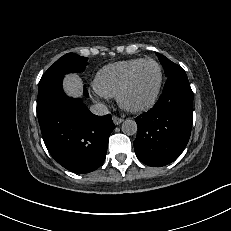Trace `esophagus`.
Masks as SVG:
<instances>
[{"label": "esophagus", "instance_id": "esophagus-1", "mask_svg": "<svg viewBox=\"0 0 231 231\" xmlns=\"http://www.w3.org/2000/svg\"><path fill=\"white\" fill-rule=\"evenodd\" d=\"M112 120H113L115 125H119V124H121L123 122V119L120 118V117H117V116H113Z\"/></svg>", "mask_w": 231, "mask_h": 231}]
</instances>
